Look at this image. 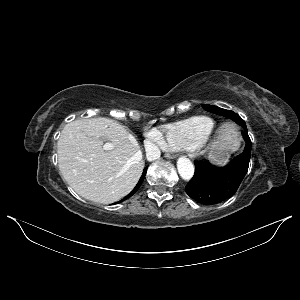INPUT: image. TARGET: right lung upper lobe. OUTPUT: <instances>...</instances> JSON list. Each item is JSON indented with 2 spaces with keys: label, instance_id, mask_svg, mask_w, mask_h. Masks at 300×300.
<instances>
[{
  "label": "right lung upper lobe",
  "instance_id": "1",
  "mask_svg": "<svg viewBox=\"0 0 300 300\" xmlns=\"http://www.w3.org/2000/svg\"><path fill=\"white\" fill-rule=\"evenodd\" d=\"M136 190H137V187L132 191V193H134V192L136 193ZM135 193H134V194H135Z\"/></svg>",
  "mask_w": 300,
  "mask_h": 300
}]
</instances>
